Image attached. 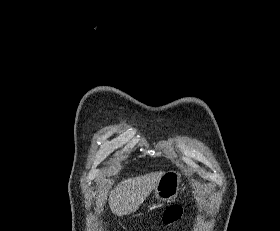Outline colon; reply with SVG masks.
I'll return each mask as SVG.
<instances>
[{"instance_id":"5ec220e1","label":"colon","mask_w":280,"mask_h":231,"mask_svg":"<svg viewBox=\"0 0 280 231\" xmlns=\"http://www.w3.org/2000/svg\"><path fill=\"white\" fill-rule=\"evenodd\" d=\"M184 213V208H167L166 211H164V220L166 225L170 224L169 220H175L176 219V213Z\"/></svg>"}]
</instances>
